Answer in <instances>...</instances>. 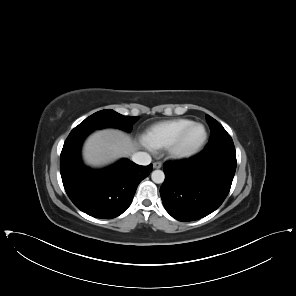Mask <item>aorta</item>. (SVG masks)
<instances>
[{"instance_id":"obj_1","label":"aorta","mask_w":296,"mask_h":296,"mask_svg":"<svg viewBox=\"0 0 296 296\" xmlns=\"http://www.w3.org/2000/svg\"><path fill=\"white\" fill-rule=\"evenodd\" d=\"M151 179L154 183L160 184L164 182L165 174L161 170H155L151 174Z\"/></svg>"}]
</instances>
